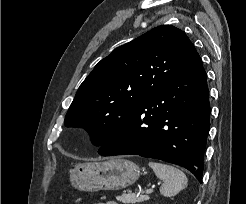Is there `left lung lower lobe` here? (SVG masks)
I'll use <instances>...</instances> for the list:
<instances>
[{
    "label": "left lung lower lobe",
    "mask_w": 246,
    "mask_h": 204,
    "mask_svg": "<svg viewBox=\"0 0 246 204\" xmlns=\"http://www.w3.org/2000/svg\"><path fill=\"white\" fill-rule=\"evenodd\" d=\"M209 128L207 74L196 52L117 126L98 153L163 160L188 169L201 182Z\"/></svg>",
    "instance_id": "1"
}]
</instances>
